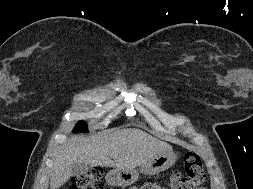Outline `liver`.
<instances>
[{"instance_id":"obj_1","label":"liver","mask_w":253,"mask_h":189,"mask_svg":"<svg viewBox=\"0 0 253 189\" xmlns=\"http://www.w3.org/2000/svg\"><path fill=\"white\" fill-rule=\"evenodd\" d=\"M173 148L140 129H122L91 139L73 136L53 156L50 189H58L72 176L76 163L131 170ZM111 158L113 160H111Z\"/></svg>"}]
</instances>
